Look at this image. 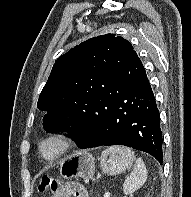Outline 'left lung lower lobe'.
<instances>
[{
  "label": "left lung lower lobe",
  "mask_w": 191,
  "mask_h": 197,
  "mask_svg": "<svg viewBox=\"0 0 191 197\" xmlns=\"http://www.w3.org/2000/svg\"><path fill=\"white\" fill-rule=\"evenodd\" d=\"M72 135L82 149L124 145L147 152L162 164L160 115L145 69L125 77L81 119Z\"/></svg>",
  "instance_id": "1"
}]
</instances>
